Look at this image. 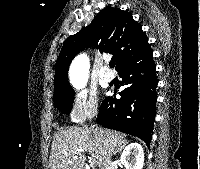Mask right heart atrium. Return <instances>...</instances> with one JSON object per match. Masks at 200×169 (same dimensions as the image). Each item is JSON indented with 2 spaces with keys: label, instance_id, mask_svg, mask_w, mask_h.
<instances>
[{
  "label": "right heart atrium",
  "instance_id": "obj_1",
  "mask_svg": "<svg viewBox=\"0 0 200 169\" xmlns=\"http://www.w3.org/2000/svg\"><path fill=\"white\" fill-rule=\"evenodd\" d=\"M100 110L97 94L93 91H80L74 95L69 117L73 123H83L88 119L95 117Z\"/></svg>",
  "mask_w": 200,
  "mask_h": 169
}]
</instances>
